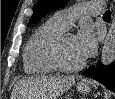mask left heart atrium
Here are the masks:
<instances>
[{
  "label": "left heart atrium",
  "instance_id": "39dd6f15",
  "mask_svg": "<svg viewBox=\"0 0 115 99\" xmlns=\"http://www.w3.org/2000/svg\"><path fill=\"white\" fill-rule=\"evenodd\" d=\"M75 40L83 59L88 58L96 49L97 35L93 27L88 23L81 27L75 35Z\"/></svg>",
  "mask_w": 115,
  "mask_h": 99
}]
</instances>
